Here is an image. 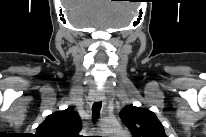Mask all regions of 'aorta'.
Instances as JSON below:
<instances>
[{
    "instance_id": "1",
    "label": "aorta",
    "mask_w": 206,
    "mask_h": 137,
    "mask_svg": "<svg viewBox=\"0 0 206 137\" xmlns=\"http://www.w3.org/2000/svg\"><path fill=\"white\" fill-rule=\"evenodd\" d=\"M104 130L107 133H114V134H119L121 132L120 126L118 123H105L104 124Z\"/></svg>"
}]
</instances>
